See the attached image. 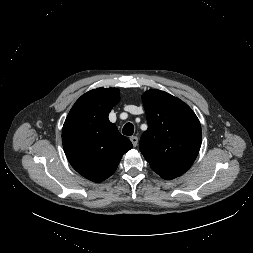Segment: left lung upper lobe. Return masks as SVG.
<instances>
[{
  "label": "left lung upper lobe",
  "instance_id": "1",
  "mask_svg": "<svg viewBox=\"0 0 253 253\" xmlns=\"http://www.w3.org/2000/svg\"><path fill=\"white\" fill-rule=\"evenodd\" d=\"M142 100L148 129L141 136L139 149L162 178L179 177L200 150V122L187 104L164 91L149 90Z\"/></svg>",
  "mask_w": 253,
  "mask_h": 253
}]
</instances>
